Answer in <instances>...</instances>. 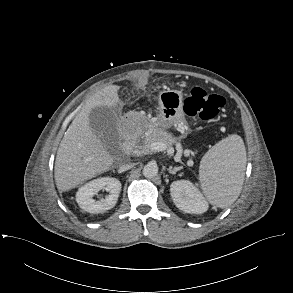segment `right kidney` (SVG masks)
Listing matches in <instances>:
<instances>
[{
  "label": "right kidney",
  "mask_w": 293,
  "mask_h": 293,
  "mask_svg": "<svg viewBox=\"0 0 293 293\" xmlns=\"http://www.w3.org/2000/svg\"><path fill=\"white\" fill-rule=\"evenodd\" d=\"M102 189L109 194L105 198L96 201L93 196ZM120 191L121 183L118 179L110 177L97 178L79 188L76 193V201L80 208L86 212L103 213L116 205Z\"/></svg>",
  "instance_id": "right-kidney-1"
}]
</instances>
